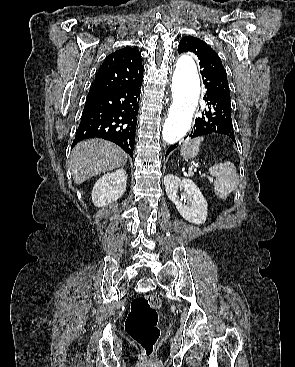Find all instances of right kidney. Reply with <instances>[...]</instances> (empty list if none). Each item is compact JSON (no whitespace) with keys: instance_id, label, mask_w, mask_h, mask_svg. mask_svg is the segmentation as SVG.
<instances>
[{"instance_id":"obj_1","label":"right kidney","mask_w":295,"mask_h":367,"mask_svg":"<svg viewBox=\"0 0 295 367\" xmlns=\"http://www.w3.org/2000/svg\"><path fill=\"white\" fill-rule=\"evenodd\" d=\"M127 186V174L124 169L105 174L94 185L92 201L95 206L103 207L122 197Z\"/></svg>"}]
</instances>
